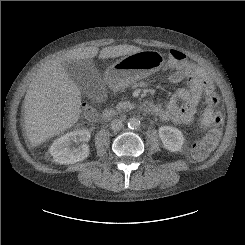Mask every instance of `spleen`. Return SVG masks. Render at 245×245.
Masks as SVG:
<instances>
[{"label": "spleen", "mask_w": 245, "mask_h": 245, "mask_svg": "<svg viewBox=\"0 0 245 245\" xmlns=\"http://www.w3.org/2000/svg\"><path fill=\"white\" fill-rule=\"evenodd\" d=\"M211 109L210 108H207L205 111H204V114H203V118L201 120V125L203 126H207L210 122V117H211Z\"/></svg>", "instance_id": "3e777b00"}]
</instances>
